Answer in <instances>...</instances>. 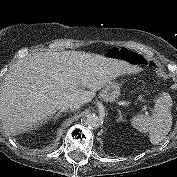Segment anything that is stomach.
<instances>
[{
  "mask_svg": "<svg viewBox=\"0 0 177 177\" xmlns=\"http://www.w3.org/2000/svg\"><path fill=\"white\" fill-rule=\"evenodd\" d=\"M109 58H116L129 63L132 67L140 68L147 59L139 52L127 48H113L107 52ZM120 96V84L114 80L109 82L100 91V97L108 103L115 102Z\"/></svg>",
  "mask_w": 177,
  "mask_h": 177,
  "instance_id": "obj_1",
  "label": "stomach"
}]
</instances>
